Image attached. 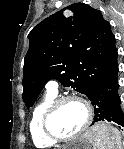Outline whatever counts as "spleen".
<instances>
[{
	"label": "spleen",
	"mask_w": 124,
	"mask_h": 149,
	"mask_svg": "<svg viewBox=\"0 0 124 149\" xmlns=\"http://www.w3.org/2000/svg\"><path fill=\"white\" fill-rule=\"evenodd\" d=\"M91 141L97 149H121V136L114 127L102 125L91 136Z\"/></svg>",
	"instance_id": "spleen-1"
}]
</instances>
